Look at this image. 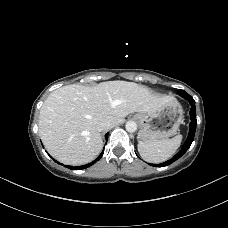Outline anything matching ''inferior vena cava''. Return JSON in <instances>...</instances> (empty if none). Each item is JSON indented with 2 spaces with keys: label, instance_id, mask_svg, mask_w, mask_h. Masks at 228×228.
<instances>
[{
  "label": "inferior vena cava",
  "instance_id": "inferior-vena-cava-1",
  "mask_svg": "<svg viewBox=\"0 0 228 228\" xmlns=\"http://www.w3.org/2000/svg\"><path fill=\"white\" fill-rule=\"evenodd\" d=\"M111 127L110 123L109 122H100L98 125H97V130L99 132L103 131V130H107Z\"/></svg>",
  "mask_w": 228,
  "mask_h": 228
}]
</instances>
